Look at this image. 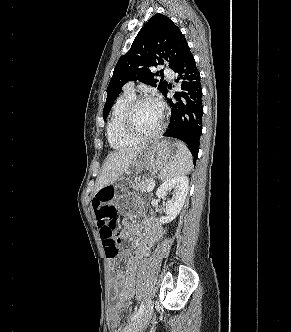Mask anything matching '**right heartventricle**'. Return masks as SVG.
I'll return each instance as SVG.
<instances>
[{
  "mask_svg": "<svg viewBox=\"0 0 291 332\" xmlns=\"http://www.w3.org/2000/svg\"><path fill=\"white\" fill-rule=\"evenodd\" d=\"M135 97L131 91H124L115 101L106 131L108 142L115 149H122L138 143L127 136L123 130V116L130 101Z\"/></svg>",
  "mask_w": 291,
  "mask_h": 332,
  "instance_id": "e07e8e85",
  "label": "right heart ventricle"
}]
</instances>
